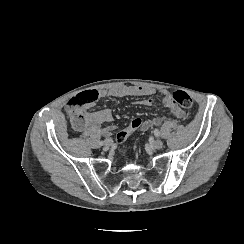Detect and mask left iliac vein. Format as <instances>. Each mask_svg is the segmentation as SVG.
<instances>
[{
  "instance_id": "obj_1",
  "label": "left iliac vein",
  "mask_w": 244,
  "mask_h": 244,
  "mask_svg": "<svg viewBox=\"0 0 244 244\" xmlns=\"http://www.w3.org/2000/svg\"><path fill=\"white\" fill-rule=\"evenodd\" d=\"M152 146L156 149H160L163 146V142L160 139H156L153 141Z\"/></svg>"
}]
</instances>
